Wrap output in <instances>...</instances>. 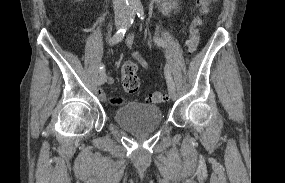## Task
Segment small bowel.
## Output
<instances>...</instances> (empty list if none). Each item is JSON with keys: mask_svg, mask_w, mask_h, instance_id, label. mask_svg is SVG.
<instances>
[{"mask_svg": "<svg viewBox=\"0 0 285 183\" xmlns=\"http://www.w3.org/2000/svg\"><path fill=\"white\" fill-rule=\"evenodd\" d=\"M157 6L159 10L165 14V15H173L177 14L180 9V1L179 0H156ZM133 42H134V37L132 35L128 36L126 43L127 46L131 49L132 51V56L136 60L137 64L143 68V69H148L149 64L148 62L141 56V54L133 49ZM106 81L108 84L113 83V78L111 76L106 77ZM100 96L106 100V96L101 93ZM113 103L120 104L122 103V100L119 98H113L112 99Z\"/></svg>", "mask_w": 285, "mask_h": 183, "instance_id": "small-bowel-1", "label": "small bowel"}]
</instances>
